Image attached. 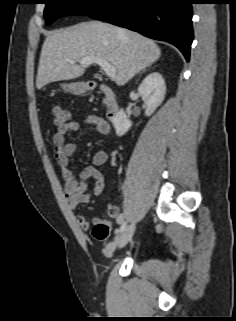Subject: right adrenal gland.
Returning a JSON list of instances; mask_svg holds the SVG:
<instances>
[{
  "label": "right adrenal gland",
  "mask_w": 236,
  "mask_h": 321,
  "mask_svg": "<svg viewBox=\"0 0 236 321\" xmlns=\"http://www.w3.org/2000/svg\"><path fill=\"white\" fill-rule=\"evenodd\" d=\"M145 71H146V69H144L142 72H140V73H139V76H140L142 73H144Z\"/></svg>",
  "instance_id": "right-adrenal-gland-1"
}]
</instances>
